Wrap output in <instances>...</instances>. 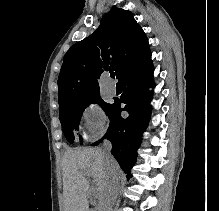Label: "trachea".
<instances>
[{"label": "trachea", "mask_w": 219, "mask_h": 211, "mask_svg": "<svg viewBox=\"0 0 219 211\" xmlns=\"http://www.w3.org/2000/svg\"><path fill=\"white\" fill-rule=\"evenodd\" d=\"M110 76H111V78H115V73L114 72H110ZM117 86H119L118 83H117Z\"/></svg>", "instance_id": "obj_1"}]
</instances>
